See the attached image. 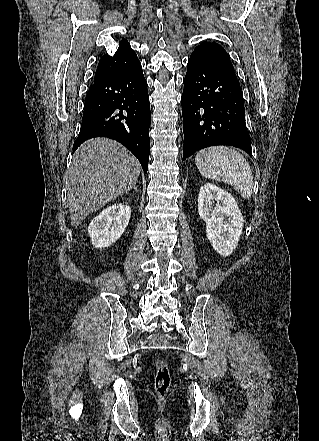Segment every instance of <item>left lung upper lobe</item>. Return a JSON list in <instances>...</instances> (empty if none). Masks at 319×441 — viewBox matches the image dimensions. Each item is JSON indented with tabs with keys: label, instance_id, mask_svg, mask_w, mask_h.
Returning a JSON list of instances; mask_svg holds the SVG:
<instances>
[{
	"label": "left lung upper lobe",
	"instance_id": "5c2ea615",
	"mask_svg": "<svg viewBox=\"0 0 319 441\" xmlns=\"http://www.w3.org/2000/svg\"><path fill=\"white\" fill-rule=\"evenodd\" d=\"M191 56H196L201 60L236 76L228 53L222 46L215 42L200 43V45L194 49Z\"/></svg>",
	"mask_w": 319,
	"mask_h": 441
}]
</instances>
